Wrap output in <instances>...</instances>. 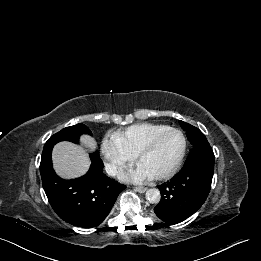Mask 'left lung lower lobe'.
Instances as JSON below:
<instances>
[{
	"label": "left lung lower lobe",
	"instance_id": "1",
	"mask_svg": "<svg viewBox=\"0 0 261 261\" xmlns=\"http://www.w3.org/2000/svg\"><path fill=\"white\" fill-rule=\"evenodd\" d=\"M214 160L213 150L204 140L193 147L176 176L158 185L161 201L154 212L161 220L178 223L202 206L210 192Z\"/></svg>",
	"mask_w": 261,
	"mask_h": 261
}]
</instances>
